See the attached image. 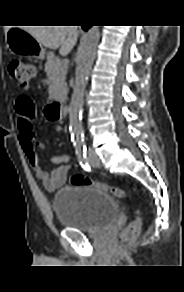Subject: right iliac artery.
Segmentation results:
<instances>
[{
    "label": "right iliac artery",
    "instance_id": "obj_1",
    "mask_svg": "<svg viewBox=\"0 0 184 292\" xmlns=\"http://www.w3.org/2000/svg\"><path fill=\"white\" fill-rule=\"evenodd\" d=\"M76 154H77L78 161H79L80 165L82 166V168L86 171H90V165L88 163L86 148L85 147L77 148Z\"/></svg>",
    "mask_w": 184,
    "mask_h": 292
}]
</instances>
